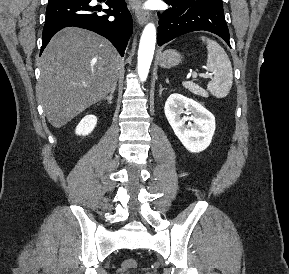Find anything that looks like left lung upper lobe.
Masks as SVG:
<instances>
[{
    "mask_svg": "<svg viewBox=\"0 0 289 274\" xmlns=\"http://www.w3.org/2000/svg\"><path fill=\"white\" fill-rule=\"evenodd\" d=\"M169 2H171L172 4H179L180 2H182L183 0H167ZM209 1H214V2H218V3H222V0H209Z\"/></svg>",
    "mask_w": 289,
    "mask_h": 274,
    "instance_id": "5c2ea615",
    "label": "left lung upper lobe"
}]
</instances>
